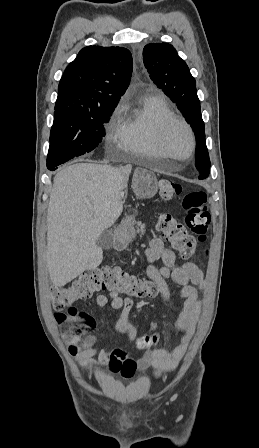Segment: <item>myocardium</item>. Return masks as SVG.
Here are the masks:
<instances>
[{
  "mask_svg": "<svg viewBox=\"0 0 259 448\" xmlns=\"http://www.w3.org/2000/svg\"><path fill=\"white\" fill-rule=\"evenodd\" d=\"M175 125H180L186 130V132L189 136V140H190V150H189L190 153H189L188 161H193L196 156V153H195L196 137H195V133H194L192 126L183 118H180L178 116H173V117H170L161 122V124L158 128V132H157L158 145L161 149H169L168 135H169V132L172 129V127ZM161 171H164V170H161Z\"/></svg>",
  "mask_w": 259,
  "mask_h": 448,
  "instance_id": "1",
  "label": "myocardium"
}]
</instances>
